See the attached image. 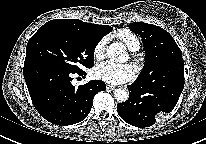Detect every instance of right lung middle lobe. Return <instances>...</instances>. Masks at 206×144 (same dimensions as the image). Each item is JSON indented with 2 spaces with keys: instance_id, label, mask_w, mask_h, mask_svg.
Instances as JSON below:
<instances>
[{
  "instance_id": "dd1d6c3e",
  "label": "right lung middle lobe",
  "mask_w": 206,
  "mask_h": 144,
  "mask_svg": "<svg viewBox=\"0 0 206 144\" xmlns=\"http://www.w3.org/2000/svg\"><path fill=\"white\" fill-rule=\"evenodd\" d=\"M101 38L77 28L47 22L29 39L24 67L51 65L69 72L94 65V50Z\"/></svg>"
}]
</instances>
